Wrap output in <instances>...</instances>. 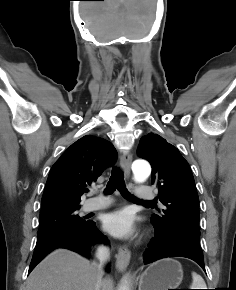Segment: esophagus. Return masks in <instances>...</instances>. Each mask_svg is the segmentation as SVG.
Segmentation results:
<instances>
[{
    "label": "esophagus",
    "mask_w": 236,
    "mask_h": 290,
    "mask_svg": "<svg viewBox=\"0 0 236 290\" xmlns=\"http://www.w3.org/2000/svg\"><path fill=\"white\" fill-rule=\"evenodd\" d=\"M132 163V154L130 152H124L120 157V166L125 172L126 176H129ZM131 253L126 247H119L116 254V269L120 272H123L129 261Z\"/></svg>",
    "instance_id": "34e87169"
}]
</instances>
